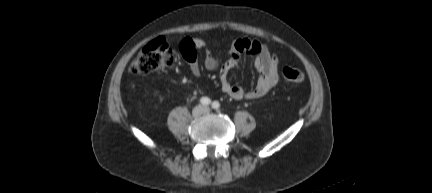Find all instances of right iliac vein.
<instances>
[{
	"mask_svg": "<svg viewBox=\"0 0 432 193\" xmlns=\"http://www.w3.org/2000/svg\"><path fill=\"white\" fill-rule=\"evenodd\" d=\"M203 108L201 107V106H197V107H195L194 109H193V111H192V115L194 116V117H198L199 115H201L202 113H203Z\"/></svg>",
	"mask_w": 432,
	"mask_h": 193,
	"instance_id": "right-iliac-vein-1",
	"label": "right iliac vein"
}]
</instances>
